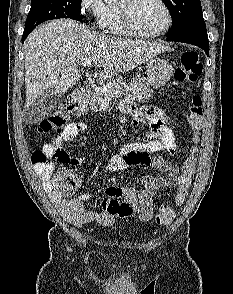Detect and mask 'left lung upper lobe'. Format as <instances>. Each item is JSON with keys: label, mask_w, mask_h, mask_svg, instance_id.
<instances>
[{"label": "left lung upper lobe", "mask_w": 233, "mask_h": 294, "mask_svg": "<svg viewBox=\"0 0 233 294\" xmlns=\"http://www.w3.org/2000/svg\"><path fill=\"white\" fill-rule=\"evenodd\" d=\"M168 7L173 27L167 34L176 37L187 33L207 34L200 0H162Z\"/></svg>", "instance_id": "left-lung-upper-lobe-1"}]
</instances>
